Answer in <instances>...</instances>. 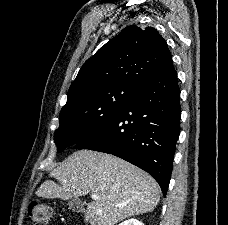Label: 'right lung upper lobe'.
Segmentation results:
<instances>
[{"label":"right lung upper lobe","instance_id":"obj_1","mask_svg":"<svg viewBox=\"0 0 228 225\" xmlns=\"http://www.w3.org/2000/svg\"><path fill=\"white\" fill-rule=\"evenodd\" d=\"M171 60L167 43L155 28L127 26L84 63L69 88L67 103L110 84L138 88Z\"/></svg>","mask_w":228,"mask_h":225}]
</instances>
